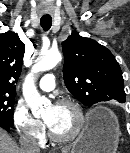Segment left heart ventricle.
<instances>
[{
	"label": "left heart ventricle",
	"instance_id": "b2bd125f",
	"mask_svg": "<svg viewBox=\"0 0 130 153\" xmlns=\"http://www.w3.org/2000/svg\"><path fill=\"white\" fill-rule=\"evenodd\" d=\"M44 119L58 135H68L76 125V114L69 106L57 105L49 107Z\"/></svg>",
	"mask_w": 130,
	"mask_h": 153
}]
</instances>
